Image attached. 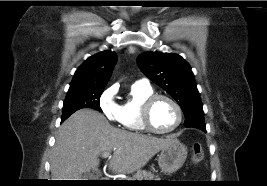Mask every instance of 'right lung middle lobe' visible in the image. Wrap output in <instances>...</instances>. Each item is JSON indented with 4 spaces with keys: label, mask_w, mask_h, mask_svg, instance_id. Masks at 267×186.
I'll return each mask as SVG.
<instances>
[{
    "label": "right lung middle lobe",
    "mask_w": 267,
    "mask_h": 186,
    "mask_svg": "<svg viewBox=\"0 0 267 186\" xmlns=\"http://www.w3.org/2000/svg\"><path fill=\"white\" fill-rule=\"evenodd\" d=\"M102 93L103 89L69 90L62 109V121L82 108H91L102 111L99 105Z\"/></svg>",
    "instance_id": "obj_1"
}]
</instances>
